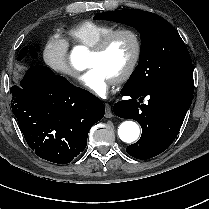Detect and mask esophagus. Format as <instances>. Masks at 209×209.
Masks as SVG:
<instances>
[{"label":"esophagus","mask_w":209,"mask_h":209,"mask_svg":"<svg viewBox=\"0 0 209 209\" xmlns=\"http://www.w3.org/2000/svg\"><path fill=\"white\" fill-rule=\"evenodd\" d=\"M105 108H106V111H105V117L106 118H111L113 117V113H112V110H111V106L109 104H105Z\"/></svg>","instance_id":"1"}]
</instances>
